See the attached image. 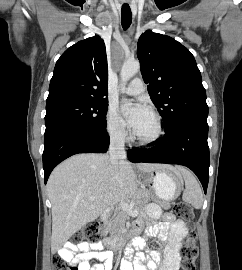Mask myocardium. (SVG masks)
<instances>
[{
	"label": "myocardium",
	"mask_w": 242,
	"mask_h": 270,
	"mask_svg": "<svg viewBox=\"0 0 242 270\" xmlns=\"http://www.w3.org/2000/svg\"><path fill=\"white\" fill-rule=\"evenodd\" d=\"M151 115L153 116L155 120L156 131L154 135L149 138L138 137L134 132L133 141L136 142L138 145H142V146L154 145L158 143L164 135V126H163L161 116L155 111H151Z\"/></svg>",
	"instance_id": "1"
}]
</instances>
